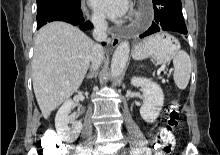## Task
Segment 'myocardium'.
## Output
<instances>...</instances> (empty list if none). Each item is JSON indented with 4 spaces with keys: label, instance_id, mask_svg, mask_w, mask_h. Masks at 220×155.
Here are the masks:
<instances>
[{
    "label": "myocardium",
    "instance_id": "myocardium-1",
    "mask_svg": "<svg viewBox=\"0 0 220 155\" xmlns=\"http://www.w3.org/2000/svg\"><path fill=\"white\" fill-rule=\"evenodd\" d=\"M142 16H143V12H142V10H139L136 14V18L139 20V19H141Z\"/></svg>",
    "mask_w": 220,
    "mask_h": 155
}]
</instances>
